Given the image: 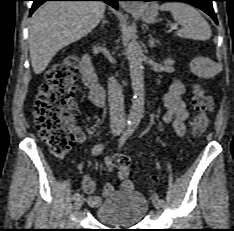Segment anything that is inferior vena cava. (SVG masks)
Here are the masks:
<instances>
[{"label":"inferior vena cava","mask_w":234,"mask_h":231,"mask_svg":"<svg viewBox=\"0 0 234 231\" xmlns=\"http://www.w3.org/2000/svg\"><path fill=\"white\" fill-rule=\"evenodd\" d=\"M108 101L110 107V125L122 126L125 123L124 99L122 88L114 77L109 78Z\"/></svg>","instance_id":"602c4592"}]
</instances>
